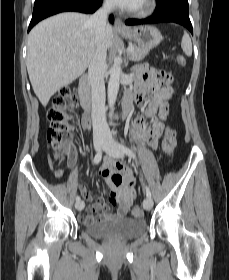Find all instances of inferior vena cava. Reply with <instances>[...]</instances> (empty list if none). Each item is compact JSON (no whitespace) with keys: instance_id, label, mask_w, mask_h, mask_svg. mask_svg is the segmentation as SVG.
I'll return each mask as SVG.
<instances>
[{"instance_id":"obj_1","label":"inferior vena cava","mask_w":229,"mask_h":280,"mask_svg":"<svg viewBox=\"0 0 229 280\" xmlns=\"http://www.w3.org/2000/svg\"><path fill=\"white\" fill-rule=\"evenodd\" d=\"M112 0H105L89 19L96 37V49L92 55L88 69V81L92 89V124L93 134L106 136L109 128L105 117V84L106 49L102 44V37L107 26L108 16L113 9Z\"/></svg>"}]
</instances>
